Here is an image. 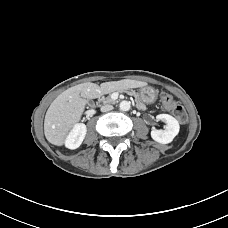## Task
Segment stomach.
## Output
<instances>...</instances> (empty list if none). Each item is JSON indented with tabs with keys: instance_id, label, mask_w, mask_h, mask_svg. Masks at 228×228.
Returning a JSON list of instances; mask_svg holds the SVG:
<instances>
[{
	"instance_id": "stomach-1",
	"label": "stomach",
	"mask_w": 228,
	"mask_h": 228,
	"mask_svg": "<svg viewBox=\"0 0 228 228\" xmlns=\"http://www.w3.org/2000/svg\"><path fill=\"white\" fill-rule=\"evenodd\" d=\"M138 95L140 100L146 104L154 103L157 99V92L150 86L140 87Z\"/></svg>"
}]
</instances>
